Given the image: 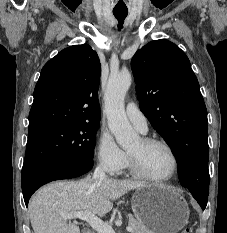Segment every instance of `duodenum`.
I'll return each instance as SVG.
<instances>
[{
  "mask_svg": "<svg viewBox=\"0 0 227 233\" xmlns=\"http://www.w3.org/2000/svg\"><path fill=\"white\" fill-rule=\"evenodd\" d=\"M83 233H91L90 231H85V232H83Z\"/></svg>",
  "mask_w": 227,
  "mask_h": 233,
  "instance_id": "duodenum-1",
  "label": "duodenum"
}]
</instances>
